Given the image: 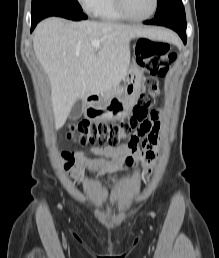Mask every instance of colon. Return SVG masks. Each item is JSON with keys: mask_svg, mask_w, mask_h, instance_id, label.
<instances>
[{"mask_svg": "<svg viewBox=\"0 0 219 258\" xmlns=\"http://www.w3.org/2000/svg\"><path fill=\"white\" fill-rule=\"evenodd\" d=\"M138 61L151 75L143 82L142 91L133 108L132 115L121 122H93L83 120L71 126L70 138L82 144H98L101 146H118L122 141L130 140L140 125L147 120L150 108L159 94L157 78L164 77L177 56L170 50L169 44L142 38L137 44ZM63 157L70 162L72 154L64 152Z\"/></svg>", "mask_w": 219, "mask_h": 258, "instance_id": "colon-1", "label": "colon"}]
</instances>
